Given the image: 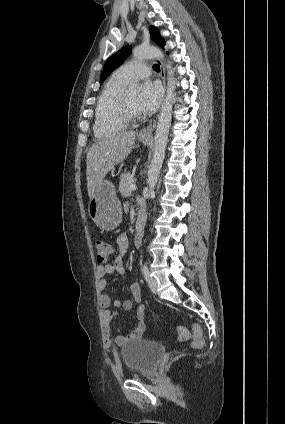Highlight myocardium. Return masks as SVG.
<instances>
[{"mask_svg":"<svg viewBox=\"0 0 285 424\" xmlns=\"http://www.w3.org/2000/svg\"><path fill=\"white\" fill-rule=\"evenodd\" d=\"M117 111L118 116L127 124L135 122L141 118V115L139 113H134L130 109L123 95H121L120 100L118 102Z\"/></svg>","mask_w":285,"mask_h":424,"instance_id":"obj_1","label":"myocardium"}]
</instances>
